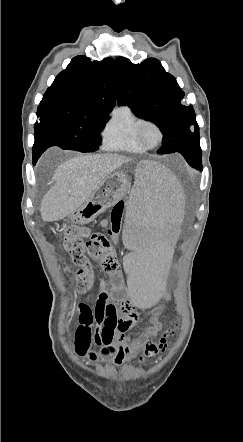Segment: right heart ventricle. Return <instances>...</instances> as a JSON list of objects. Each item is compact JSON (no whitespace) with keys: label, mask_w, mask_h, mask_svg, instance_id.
<instances>
[{"label":"right heart ventricle","mask_w":243,"mask_h":442,"mask_svg":"<svg viewBox=\"0 0 243 442\" xmlns=\"http://www.w3.org/2000/svg\"><path fill=\"white\" fill-rule=\"evenodd\" d=\"M143 118L129 105L116 107L106 124L102 139L109 151L142 154L147 151L137 140L136 128Z\"/></svg>","instance_id":"1"}]
</instances>
